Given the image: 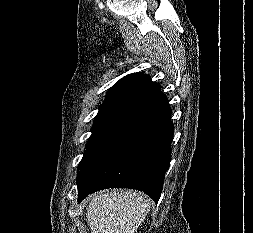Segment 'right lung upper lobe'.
Masks as SVG:
<instances>
[{
    "instance_id": "1",
    "label": "right lung upper lobe",
    "mask_w": 253,
    "mask_h": 233,
    "mask_svg": "<svg viewBox=\"0 0 253 233\" xmlns=\"http://www.w3.org/2000/svg\"><path fill=\"white\" fill-rule=\"evenodd\" d=\"M161 88L143 72L129 74L120 79L107 92L104 103L132 102L137 104Z\"/></svg>"
}]
</instances>
